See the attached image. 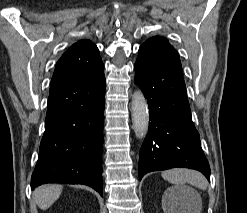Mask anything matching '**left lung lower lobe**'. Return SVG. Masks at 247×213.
Returning a JSON list of instances; mask_svg holds the SVG:
<instances>
[{
    "label": "left lung lower lobe",
    "instance_id": "obj_1",
    "mask_svg": "<svg viewBox=\"0 0 247 213\" xmlns=\"http://www.w3.org/2000/svg\"><path fill=\"white\" fill-rule=\"evenodd\" d=\"M135 83L149 105V131L140 150L139 179L148 172L186 167L210 181L209 163L191 119L180 60L137 59Z\"/></svg>",
    "mask_w": 247,
    "mask_h": 213
}]
</instances>
